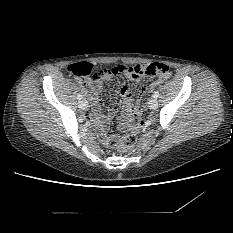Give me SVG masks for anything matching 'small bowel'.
<instances>
[{
	"label": "small bowel",
	"instance_id": "obj_1",
	"mask_svg": "<svg viewBox=\"0 0 233 233\" xmlns=\"http://www.w3.org/2000/svg\"><path fill=\"white\" fill-rule=\"evenodd\" d=\"M113 75L106 76L104 78L99 79H88L86 82L83 80H79V85L83 92L89 97V99L92 102V113L94 117L98 120L100 123H104L108 118L114 116L116 114V108L113 106H107L105 107V110H103L102 103L99 98V92L102 89L103 86V80L110 79ZM162 82V79H158L153 83V85H158ZM149 85H144L140 92V97H142L149 89ZM120 95L123 98L124 101V120L119 124L120 130H125L129 128L132 123L134 117L126 112L125 106L132 103V95L131 90L129 86L123 85L120 88ZM98 137L100 141L108 145L113 137L108 135L103 128H98L97 130Z\"/></svg>",
	"mask_w": 233,
	"mask_h": 233
}]
</instances>
